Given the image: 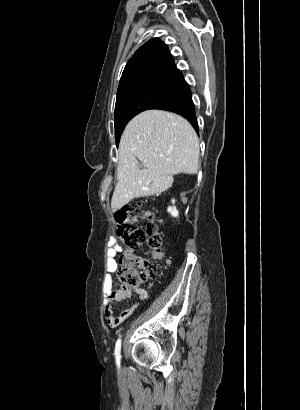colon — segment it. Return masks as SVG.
I'll list each match as a JSON object with an SVG mask.
<instances>
[{"label": "colon", "instance_id": "colon-1", "mask_svg": "<svg viewBox=\"0 0 300 410\" xmlns=\"http://www.w3.org/2000/svg\"><path fill=\"white\" fill-rule=\"evenodd\" d=\"M143 201L134 206H127L115 213L118 224L117 236L128 247L137 250L146 243L152 256L156 259L164 257L163 236L159 231L155 218L149 211L142 210ZM141 211L148 219L144 228L135 225L133 214ZM119 281L125 288H134L157 276L156 267L148 259L135 253H126L122 256L117 270Z\"/></svg>", "mask_w": 300, "mask_h": 410}]
</instances>
